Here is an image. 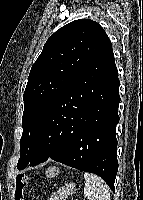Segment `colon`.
Wrapping results in <instances>:
<instances>
[{
  "label": "colon",
  "instance_id": "obj_1",
  "mask_svg": "<svg viewBox=\"0 0 143 200\" xmlns=\"http://www.w3.org/2000/svg\"><path fill=\"white\" fill-rule=\"evenodd\" d=\"M27 176L25 174H18L15 178V195L17 200H22V193L27 186Z\"/></svg>",
  "mask_w": 143,
  "mask_h": 200
}]
</instances>
